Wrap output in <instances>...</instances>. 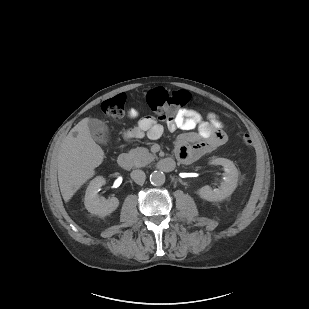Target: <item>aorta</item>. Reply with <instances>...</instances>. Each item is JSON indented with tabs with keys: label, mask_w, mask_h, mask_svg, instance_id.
Wrapping results in <instances>:
<instances>
[{
	"label": "aorta",
	"mask_w": 309,
	"mask_h": 309,
	"mask_svg": "<svg viewBox=\"0 0 309 309\" xmlns=\"http://www.w3.org/2000/svg\"><path fill=\"white\" fill-rule=\"evenodd\" d=\"M165 174L162 171H154L150 175V182L154 186H161L165 183Z\"/></svg>",
	"instance_id": "1"
}]
</instances>
